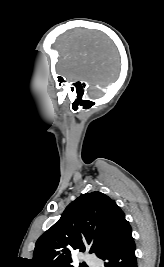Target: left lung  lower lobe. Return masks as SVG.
<instances>
[{
    "label": "left lung lower lobe",
    "mask_w": 164,
    "mask_h": 267,
    "mask_svg": "<svg viewBox=\"0 0 164 267\" xmlns=\"http://www.w3.org/2000/svg\"><path fill=\"white\" fill-rule=\"evenodd\" d=\"M131 233L129 223H124L97 256L105 261V267H137L135 243Z\"/></svg>",
    "instance_id": "1"
}]
</instances>
